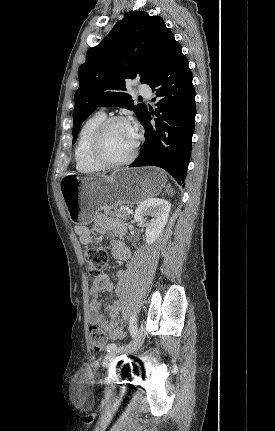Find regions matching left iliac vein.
<instances>
[{"mask_svg":"<svg viewBox=\"0 0 275 431\" xmlns=\"http://www.w3.org/2000/svg\"><path fill=\"white\" fill-rule=\"evenodd\" d=\"M146 331L143 326V324L140 326L139 331L134 339L133 342L128 344L127 346L118 348L116 350H112L109 353H107L103 360V365H110L119 354H130L136 351L140 345L142 344L144 337H145Z\"/></svg>","mask_w":275,"mask_h":431,"instance_id":"1","label":"left iliac vein"}]
</instances>
